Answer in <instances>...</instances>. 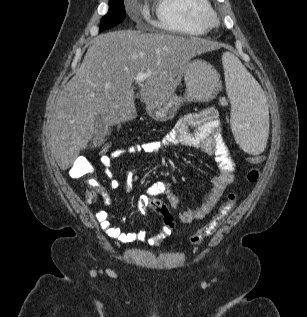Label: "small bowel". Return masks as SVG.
I'll use <instances>...</instances> for the list:
<instances>
[{
  "instance_id": "small-bowel-1",
  "label": "small bowel",
  "mask_w": 307,
  "mask_h": 317,
  "mask_svg": "<svg viewBox=\"0 0 307 317\" xmlns=\"http://www.w3.org/2000/svg\"><path fill=\"white\" fill-rule=\"evenodd\" d=\"M201 148L208 155L213 156L218 166L219 173L211 179V188L204 197L202 204L195 209L179 212V219L183 223H190L194 220L203 219L217 205L222 198L227 186L234 181L235 164L229 154L228 148L221 133V122L218 111L209 107L200 112L183 115L176 122L175 127L160 141H148L133 143L113 151L109 155L100 157V163L104 174L110 178V188H123L127 193L132 192V183L126 175V181L121 182L115 178L110 167L112 162L120 157L136 154H150L154 157L161 156L165 151L176 146ZM104 204L109 205L111 198L109 192L100 187ZM165 195L174 209L180 208V201L173 193L170 184L166 181H157L148 187L138 203V214L145 215L150 205V200L158 195ZM95 218L101 229L110 237L123 243H131L137 240L147 241L151 246H157L164 238L170 235L171 230L163 227L159 234L149 237L145 231L124 232L119 227L113 226L108 213L100 209L96 212ZM126 217H121L124 221Z\"/></svg>"
}]
</instances>
